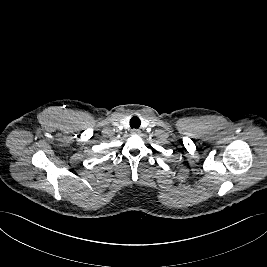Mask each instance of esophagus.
<instances>
[{
	"label": "esophagus",
	"instance_id": "obj_1",
	"mask_svg": "<svg viewBox=\"0 0 267 267\" xmlns=\"http://www.w3.org/2000/svg\"><path fill=\"white\" fill-rule=\"evenodd\" d=\"M131 133H132L133 135H139V134L141 133V131H140L139 129H132V130H131Z\"/></svg>",
	"mask_w": 267,
	"mask_h": 267
}]
</instances>
